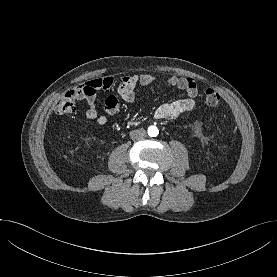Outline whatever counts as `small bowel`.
Instances as JSON below:
<instances>
[{
    "mask_svg": "<svg viewBox=\"0 0 277 277\" xmlns=\"http://www.w3.org/2000/svg\"><path fill=\"white\" fill-rule=\"evenodd\" d=\"M162 82L185 91L187 96L174 102L160 105L154 112L156 119L174 120L194 108L198 88L192 78L170 76L162 80L152 74L123 76L117 87V94L123 101L134 103L136 100L135 88L137 86L152 89ZM114 86L115 79L111 76L92 79L80 86L84 90L80 98L87 103L86 117L89 120L95 121L99 125H104L108 121V116L119 112V100L114 95H109L105 100V114H99L96 107L97 94L101 91L109 92Z\"/></svg>",
    "mask_w": 277,
    "mask_h": 277,
    "instance_id": "c3829d8e",
    "label": "small bowel"
}]
</instances>
